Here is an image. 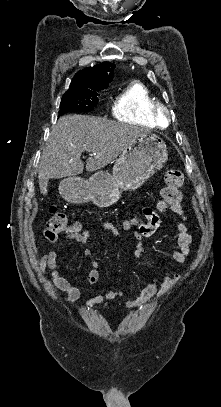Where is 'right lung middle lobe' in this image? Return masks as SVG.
Returning <instances> with one entry per match:
<instances>
[{
	"instance_id": "1",
	"label": "right lung middle lobe",
	"mask_w": 221,
	"mask_h": 407,
	"mask_svg": "<svg viewBox=\"0 0 221 407\" xmlns=\"http://www.w3.org/2000/svg\"><path fill=\"white\" fill-rule=\"evenodd\" d=\"M103 89L93 91L73 90L67 91L61 100L59 115L71 111H91L98 102V92Z\"/></svg>"
}]
</instances>
